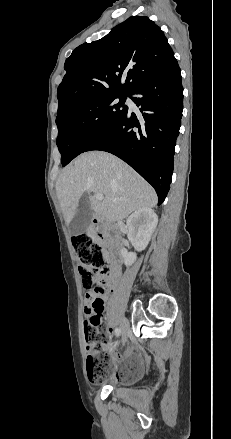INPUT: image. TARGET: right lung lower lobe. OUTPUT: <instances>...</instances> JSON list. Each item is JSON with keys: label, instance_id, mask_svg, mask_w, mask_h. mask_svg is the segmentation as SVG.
Listing matches in <instances>:
<instances>
[{"label": "right lung lower lobe", "instance_id": "obj_1", "mask_svg": "<svg viewBox=\"0 0 231 439\" xmlns=\"http://www.w3.org/2000/svg\"><path fill=\"white\" fill-rule=\"evenodd\" d=\"M130 95L141 114L131 109L84 152L112 153L133 167L156 190L160 205L173 173L176 138L183 110L180 68L174 58L163 70L137 86Z\"/></svg>", "mask_w": 231, "mask_h": 439}]
</instances>
